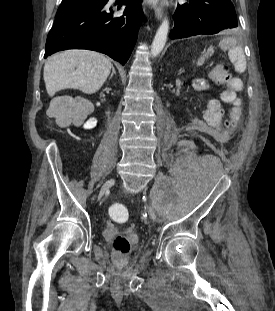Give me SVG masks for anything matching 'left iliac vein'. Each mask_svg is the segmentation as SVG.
<instances>
[{"label": "left iliac vein", "mask_w": 275, "mask_h": 311, "mask_svg": "<svg viewBox=\"0 0 275 311\" xmlns=\"http://www.w3.org/2000/svg\"><path fill=\"white\" fill-rule=\"evenodd\" d=\"M148 213H149V216L152 220L157 219L156 213L154 212V210L152 208H148Z\"/></svg>", "instance_id": "4c4485c4"}]
</instances>
